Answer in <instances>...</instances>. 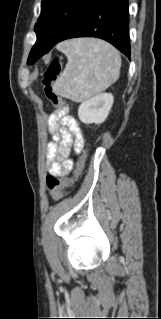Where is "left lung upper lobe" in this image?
<instances>
[{
    "mask_svg": "<svg viewBox=\"0 0 161 319\" xmlns=\"http://www.w3.org/2000/svg\"><path fill=\"white\" fill-rule=\"evenodd\" d=\"M98 0H42L41 15L35 24L37 41L29 64L56 45L72 25Z\"/></svg>",
    "mask_w": 161,
    "mask_h": 319,
    "instance_id": "5c2ea615",
    "label": "left lung upper lobe"
}]
</instances>
